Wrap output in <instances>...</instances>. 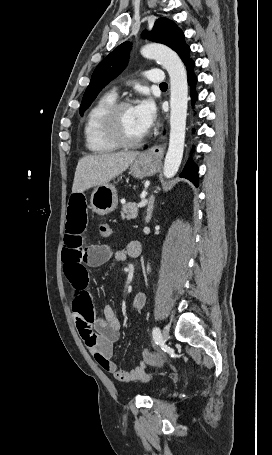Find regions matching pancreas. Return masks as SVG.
<instances>
[{
  "mask_svg": "<svg viewBox=\"0 0 272 455\" xmlns=\"http://www.w3.org/2000/svg\"><path fill=\"white\" fill-rule=\"evenodd\" d=\"M138 215V208L136 203H126L122 205L121 217L123 220L135 219Z\"/></svg>",
  "mask_w": 272,
  "mask_h": 455,
  "instance_id": "obj_1",
  "label": "pancreas"
}]
</instances>
